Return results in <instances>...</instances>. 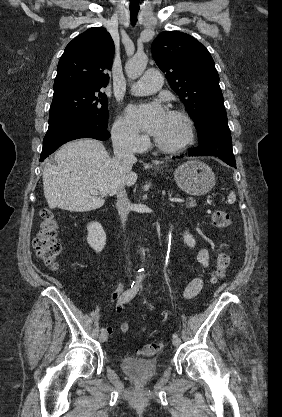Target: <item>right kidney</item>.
Instances as JSON below:
<instances>
[{
    "label": "right kidney",
    "mask_w": 282,
    "mask_h": 417,
    "mask_svg": "<svg viewBox=\"0 0 282 417\" xmlns=\"http://www.w3.org/2000/svg\"><path fill=\"white\" fill-rule=\"evenodd\" d=\"M87 231V241L90 247H92L96 253L103 251L106 245V233L102 225H100V223H96V221H93V223H89Z\"/></svg>",
    "instance_id": "obj_1"
}]
</instances>
